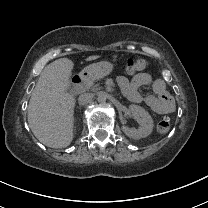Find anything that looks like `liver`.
<instances>
[{
  "label": "liver",
  "instance_id": "1",
  "mask_svg": "<svg viewBox=\"0 0 208 208\" xmlns=\"http://www.w3.org/2000/svg\"><path fill=\"white\" fill-rule=\"evenodd\" d=\"M101 58L90 55L85 62ZM74 63L59 58L42 70L28 105V123L35 137L50 148H66L74 138L76 98L68 92Z\"/></svg>",
  "mask_w": 208,
  "mask_h": 208
}]
</instances>
